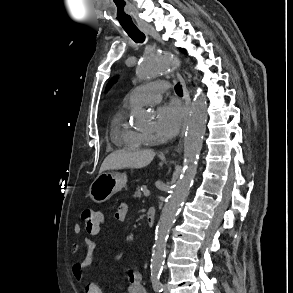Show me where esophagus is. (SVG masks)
<instances>
[{
  "mask_svg": "<svg viewBox=\"0 0 293 293\" xmlns=\"http://www.w3.org/2000/svg\"><path fill=\"white\" fill-rule=\"evenodd\" d=\"M141 30L146 33V34H149L151 35L152 37H154L155 39L157 40H160V37H159V34L155 31V29L151 26V25H148V24H145L141 27ZM177 77L182 85V89H183V95H184V99H185V104H186V107H187V112L189 113L190 111V103H191V100H190V96H189V92L187 90V87H186V84H185V81L184 79L182 78V76L177 73ZM184 129H185V124H184V127H183V130H182V135L181 137L183 136V133H184ZM179 150V149H178Z\"/></svg>",
  "mask_w": 293,
  "mask_h": 293,
  "instance_id": "obj_1",
  "label": "esophagus"
}]
</instances>
